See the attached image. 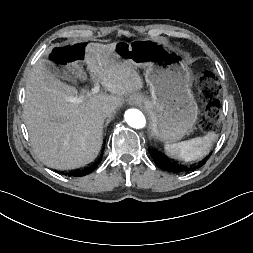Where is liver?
Wrapping results in <instances>:
<instances>
[{"label": "liver", "instance_id": "1", "mask_svg": "<svg viewBox=\"0 0 253 253\" xmlns=\"http://www.w3.org/2000/svg\"><path fill=\"white\" fill-rule=\"evenodd\" d=\"M116 43H89L84 62L96 82L105 91L84 96L74 102L78 91L54 75L39 60L26 84L24 120L32 148L39 160L48 167L74 169L92 162L99 154L103 140V124L107 115L105 104L119 107L124 96L141 90L143 80L134 66L120 60L114 50ZM73 72L86 80L82 68L75 62Z\"/></svg>", "mask_w": 253, "mask_h": 253}]
</instances>
